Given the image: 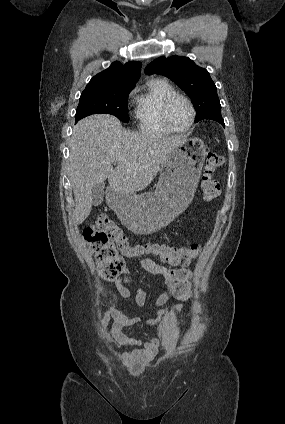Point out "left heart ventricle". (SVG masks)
<instances>
[{
    "instance_id": "left-heart-ventricle-1",
    "label": "left heart ventricle",
    "mask_w": 285,
    "mask_h": 424,
    "mask_svg": "<svg viewBox=\"0 0 285 424\" xmlns=\"http://www.w3.org/2000/svg\"><path fill=\"white\" fill-rule=\"evenodd\" d=\"M191 119V111L183 100H176L170 108L169 120L177 129H185Z\"/></svg>"
}]
</instances>
